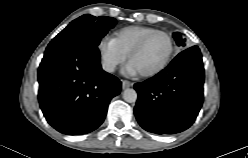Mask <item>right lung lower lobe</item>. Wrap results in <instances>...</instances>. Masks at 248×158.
Returning a JSON list of instances; mask_svg holds the SVG:
<instances>
[{
	"label": "right lung lower lobe",
	"instance_id": "1",
	"mask_svg": "<svg viewBox=\"0 0 248 158\" xmlns=\"http://www.w3.org/2000/svg\"><path fill=\"white\" fill-rule=\"evenodd\" d=\"M39 103L48 123L67 135L98 128L121 82L102 70L97 46L50 42L38 69Z\"/></svg>",
	"mask_w": 248,
	"mask_h": 158
}]
</instances>
